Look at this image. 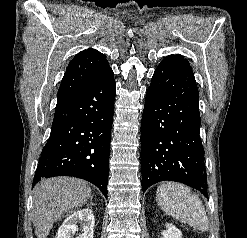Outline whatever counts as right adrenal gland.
Segmentation results:
<instances>
[{
	"label": "right adrenal gland",
	"mask_w": 247,
	"mask_h": 238,
	"mask_svg": "<svg viewBox=\"0 0 247 238\" xmlns=\"http://www.w3.org/2000/svg\"><path fill=\"white\" fill-rule=\"evenodd\" d=\"M90 205H93V203H92V199L90 200Z\"/></svg>",
	"instance_id": "obj_1"
}]
</instances>
